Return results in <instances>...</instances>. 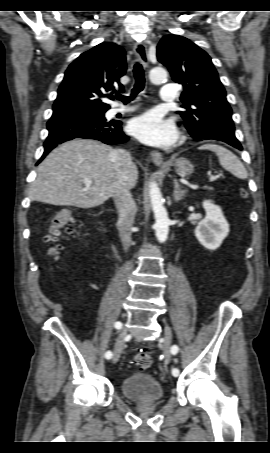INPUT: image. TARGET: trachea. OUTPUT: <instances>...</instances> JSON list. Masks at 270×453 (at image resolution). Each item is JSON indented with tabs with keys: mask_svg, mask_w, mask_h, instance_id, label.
Wrapping results in <instances>:
<instances>
[{
	"mask_svg": "<svg viewBox=\"0 0 270 453\" xmlns=\"http://www.w3.org/2000/svg\"><path fill=\"white\" fill-rule=\"evenodd\" d=\"M133 74L135 78V84L131 91L130 96H123L121 94H117L115 97L118 100H121L123 103H128L133 100L141 91H143L145 87V75L143 67L140 63L134 64Z\"/></svg>",
	"mask_w": 270,
	"mask_h": 453,
	"instance_id": "1",
	"label": "trachea"
}]
</instances>
